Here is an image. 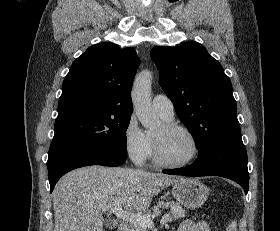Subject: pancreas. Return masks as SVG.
Wrapping results in <instances>:
<instances>
[{"label":"pancreas","instance_id":"obj_1","mask_svg":"<svg viewBox=\"0 0 280 231\" xmlns=\"http://www.w3.org/2000/svg\"><path fill=\"white\" fill-rule=\"evenodd\" d=\"M159 207H171V215L172 219H178V217H185L186 209L180 205V203H176V201H159L157 205H155L153 211H144L143 215H155L158 213ZM128 231H146L142 225L139 223H130Z\"/></svg>","mask_w":280,"mask_h":231}]
</instances>
